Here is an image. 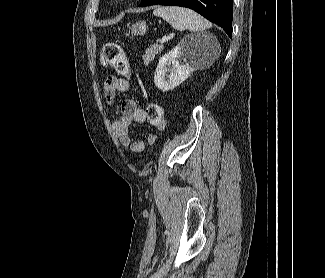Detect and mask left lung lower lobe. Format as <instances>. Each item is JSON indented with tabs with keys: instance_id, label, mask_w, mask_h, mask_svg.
<instances>
[{
	"instance_id": "1",
	"label": "left lung lower lobe",
	"mask_w": 325,
	"mask_h": 278,
	"mask_svg": "<svg viewBox=\"0 0 325 278\" xmlns=\"http://www.w3.org/2000/svg\"><path fill=\"white\" fill-rule=\"evenodd\" d=\"M175 5L190 8L221 26L232 37L233 0H143L139 7Z\"/></svg>"
}]
</instances>
